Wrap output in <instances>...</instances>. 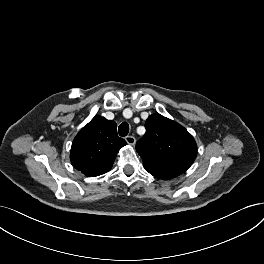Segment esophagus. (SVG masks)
Here are the masks:
<instances>
[{
	"instance_id": "34e87169",
	"label": "esophagus",
	"mask_w": 264,
	"mask_h": 264,
	"mask_svg": "<svg viewBox=\"0 0 264 264\" xmlns=\"http://www.w3.org/2000/svg\"><path fill=\"white\" fill-rule=\"evenodd\" d=\"M125 140H126V142L129 144V145H134L135 144V138L133 137V136H131V135H129V136H127L126 138H125Z\"/></svg>"
}]
</instances>
